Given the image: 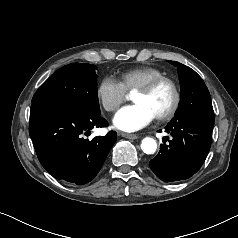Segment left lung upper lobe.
<instances>
[{
    "mask_svg": "<svg viewBox=\"0 0 238 238\" xmlns=\"http://www.w3.org/2000/svg\"><path fill=\"white\" fill-rule=\"evenodd\" d=\"M178 68L181 101L174 121L214 122L210 93L202 78L190 67L169 61Z\"/></svg>",
    "mask_w": 238,
    "mask_h": 238,
    "instance_id": "obj_1",
    "label": "left lung upper lobe"
}]
</instances>
